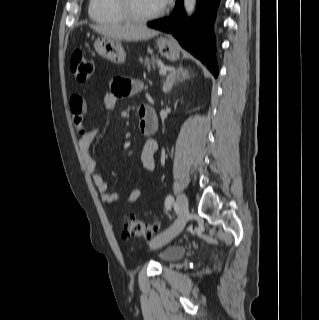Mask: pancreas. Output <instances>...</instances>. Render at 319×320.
Wrapping results in <instances>:
<instances>
[{
	"mask_svg": "<svg viewBox=\"0 0 319 320\" xmlns=\"http://www.w3.org/2000/svg\"><path fill=\"white\" fill-rule=\"evenodd\" d=\"M140 62L144 64L147 67V69H150L151 66L155 68L162 64V62L158 60V57L154 55H152L151 57L146 56L144 59L141 58Z\"/></svg>",
	"mask_w": 319,
	"mask_h": 320,
	"instance_id": "cf45deb5",
	"label": "pancreas"
}]
</instances>
